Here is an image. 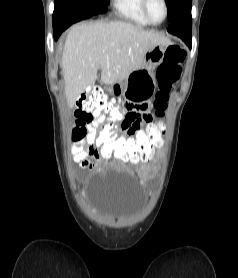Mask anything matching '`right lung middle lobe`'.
Instances as JSON below:
<instances>
[{
    "label": "right lung middle lobe",
    "mask_w": 238,
    "mask_h": 278,
    "mask_svg": "<svg viewBox=\"0 0 238 278\" xmlns=\"http://www.w3.org/2000/svg\"><path fill=\"white\" fill-rule=\"evenodd\" d=\"M108 1L109 0H55V4L60 2L75 3L85 8L91 15H96L107 11Z\"/></svg>",
    "instance_id": "1"
}]
</instances>
